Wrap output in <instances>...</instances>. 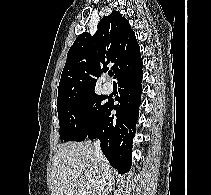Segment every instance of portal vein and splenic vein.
Returning <instances> with one entry per match:
<instances>
[{"label":"portal vein and splenic vein","mask_w":211,"mask_h":195,"mask_svg":"<svg viewBox=\"0 0 211 195\" xmlns=\"http://www.w3.org/2000/svg\"><path fill=\"white\" fill-rule=\"evenodd\" d=\"M82 195H86V193L85 192H83V194Z\"/></svg>","instance_id":"1"}]
</instances>
